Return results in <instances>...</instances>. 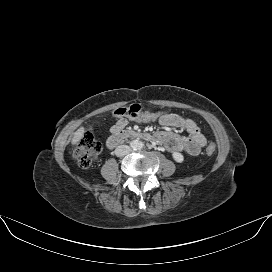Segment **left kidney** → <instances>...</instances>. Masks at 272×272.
Returning a JSON list of instances; mask_svg holds the SVG:
<instances>
[{"label": "left kidney", "instance_id": "left-kidney-1", "mask_svg": "<svg viewBox=\"0 0 272 272\" xmlns=\"http://www.w3.org/2000/svg\"><path fill=\"white\" fill-rule=\"evenodd\" d=\"M172 157L178 163H182L184 161V157H183V155L181 153L174 152L172 154Z\"/></svg>", "mask_w": 272, "mask_h": 272}]
</instances>
